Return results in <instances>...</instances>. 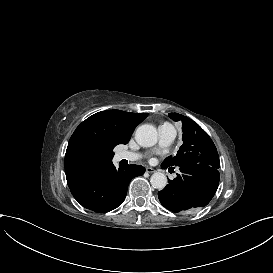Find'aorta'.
I'll use <instances>...</instances> for the list:
<instances>
[{"label": "aorta", "mask_w": 273, "mask_h": 273, "mask_svg": "<svg viewBox=\"0 0 273 273\" xmlns=\"http://www.w3.org/2000/svg\"><path fill=\"white\" fill-rule=\"evenodd\" d=\"M135 137L141 146L151 147L157 143L158 132L153 125L143 124L137 128ZM150 182L154 188L162 190L167 185V177L164 173L156 172L151 176Z\"/></svg>", "instance_id": "762f6f07"}]
</instances>
